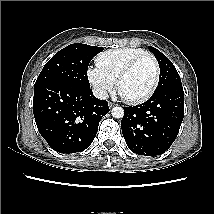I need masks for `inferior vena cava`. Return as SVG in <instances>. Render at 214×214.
I'll list each match as a JSON object with an SVG mask.
<instances>
[{
    "label": "inferior vena cava",
    "instance_id": "602c4592",
    "mask_svg": "<svg viewBox=\"0 0 214 214\" xmlns=\"http://www.w3.org/2000/svg\"><path fill=\"white\" fill-rule=\"evenodd\" d=\"M93 94L95 97H97L98 99H101V100H106L109 97L107 91L102 88H99V87L93 88Z\"/></svg>",
    "mask_w": 214,
    "mask_h": 214
}]
</instances>
